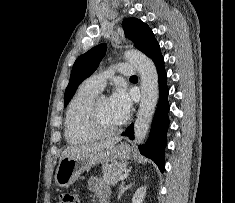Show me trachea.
Wrapping results in <instances>:
<instances>
[{"label": "trachea", "instance_id": "3493384b", "mask_svg": "<svg viewBox=\"0 0 235 203\" xmlns=\"http://www.w3.org/2000/svg\"><path fill=\"white\" fill-rule=\"evenodd\" d=\"M134 77H137V76H135V75H134V76H131V78H134Z\"/></svg>", "mask_w": 235, "mask_h": 203}]
</instances>
